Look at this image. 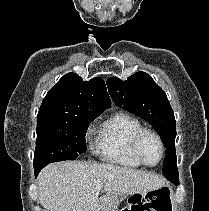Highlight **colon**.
<instances>
[{
	"label": "colon",
	"mask_w": 209,
	"mask_h": 211,
	"mask_svg": "<svg viewBox=\"0 0 209 211\" xmlns=\"http://www.w3.org/2000/svg\"><path fill=\"white\" fill-rule=\"evenodd\" d=\"M169 191L166 188L132 196L121 211H169Z\"/></svg>",
	"instance_id": "colon-1"
}]
</instances>
